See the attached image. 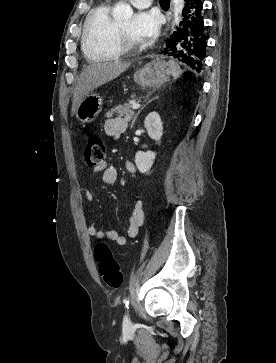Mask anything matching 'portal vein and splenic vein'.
<instances>
[{"instance_id":"18ae733b","label":"portal vein and splenic vein","mask_w":276,"mask_h":363,"mask_svg":"<svg viewBox=\"0 0 276 363\" xmlns=\"http://www.w3.org/2000/svg\"><path fill=\"white\" fill-rule=\"evenodd\" d=\"M138 108H140V104H139V103H134V104L132 105V109L136 110V109H138Z\"/></svg>"}]
</instances>
